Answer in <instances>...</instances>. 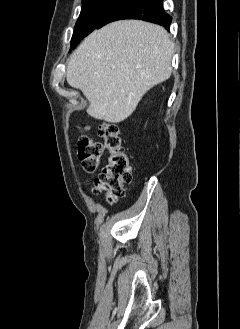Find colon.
<instances>
[{"instance_id": "1", "label": "colon", "mask_w": 240, "mask_h": 329, "mask_svg": "<svg viewBox=\"0 0 240 329\" xmlns=\"http://www.w3.org/2000/svg\"><path fill=\"white\" fill-rule=\"evenodd\" d=\"M103 143L92 141L85 133L78 140V157L85 172L93 173L100 165L103 150L108 151V163L94 183L96 193H104L109 203H115L125 193L124 186L132 179L130 155L118 126L106 123L101 128Z\"/></svg>"}]
</instances>
